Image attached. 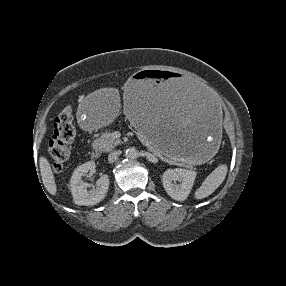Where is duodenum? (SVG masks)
<instances>
[{
	"label": "duodenum",
	"instance_id": "1",
	"mask_svg": "<svg viewBox=\"0 0 286 286\" xmlns=\"http://www.w3.org/2000/svg\"><path fill=\"white\" fill-rule=\"evenodd\" d=\"M91 157L93 158V159H98L99 157H100V152H99V150L96 148V149H94V150H92V152H91Z\"/></svg>",
	"mask_w": 286,
	"mask_h": 286
}]
</instances>
